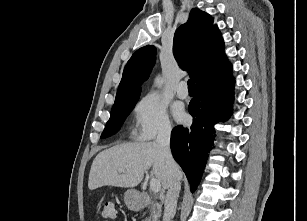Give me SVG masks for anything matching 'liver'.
I'll use <instances>...</instances> for the list:
<instances>
[{
	"instance_id": "6515ba94",
	"label": "liver",
	"mask_w": 307,
	"mask_h": 221,
	"mask_svg": "<svg viewBox=\"0 0 307 221\" xmlns=\"http://www.w3.org/2000/svg\"><path fill=\"white\" fill-rule=\"evenodd\" d=\"M150 167L155 179L168 189L172 172L156 142L118 144L97 154L91 165L88 187L90 190L106 185L132 188L143 180ZM174 174L181 180L182 171L177 164Z\"/></svg>"
}]
</instances>
